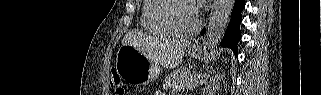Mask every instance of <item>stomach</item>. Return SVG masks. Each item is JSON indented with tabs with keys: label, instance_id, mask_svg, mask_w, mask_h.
<instances>
[{
	"label": "stomach",
	"instance_id": "obj_1",
	"mask_svg": "<svg viewBox=\"0 0 321 95\" xmlns=\"http://www.w3.org/2000/svg\"><path fill=\"white\" fill-rule=\"evenodd\" d=\"M188 53L194 58H199L202 50L199 47H190ZM115 68L121 79L135 84H147L155 80L160 72L157 62L129 44L119 48Z\"/></svg>",
	"mask_w": 321,
	"mask_h": 95
}]
</instances>
